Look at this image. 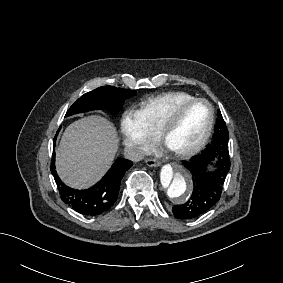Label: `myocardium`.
<instances>
[{
    "mask_svg": "<svg viewBox=\"0 0 283 283\" xmlns=\"http://www.w3.org/2000/svg\"><path fill=\"white\" fill-rule=\"evenodd\" d=\"M195 103H204L207 105L208 110H209V121L208 124L203 132V134L201 135V137L199 138V140L189 149L179 152V153H172L170 152L167 148H166V135H167V130L165 127V122H166V117H165V109L168 106V102H165L162 106V110L158 115L157 118V122H158V128L156 131V137L158 140V143L162 146L163 149H165L167 152L171 153L172 155H174L176 158L178 159H187L190 158L192 156H194L195 154H197L199 151H201L205 145L207 144V142L209 141L211 134H212V130L214 127V123H215V110L213 105L205 98H198L195 97L193 99H189L186 101H181V102H177L174 104V107L177 110H182L192 104Z\"/></svg>",
    "mask_w": 283,
    "mask_h": 283,
    "instance_id": "f54148a6",
    "label": "myocardium"
}]
</instances>
